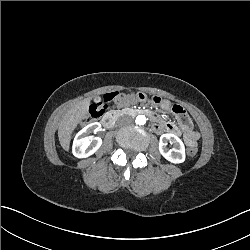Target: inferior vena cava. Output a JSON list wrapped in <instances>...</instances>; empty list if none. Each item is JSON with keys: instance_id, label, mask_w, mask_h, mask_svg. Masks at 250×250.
Segmentation results:
<instances>
[{"instance_id": "inferior-vena-cava-1", "label": "inferior vena cava", "mask_w": 250, "mask_h": 250, "mask_svg": "<svg viewBox=\"0 0 250 250\" xmlns=\"http://www.w3.org/2000/svg\"><path fill=\"white\" fill-rule=\"evenodd\" d=\"M130 117H127V116H122V117H120L119 119H118V121H117V124L118 125H126V123H125V120L126 119H129Z\"/></svg>"}]
</instances>
